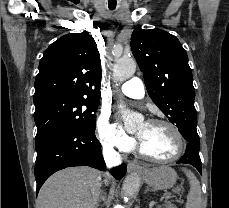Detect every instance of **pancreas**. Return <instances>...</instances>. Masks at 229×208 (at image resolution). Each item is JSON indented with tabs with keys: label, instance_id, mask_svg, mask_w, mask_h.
<instances>
[{
	"label": "pancreas",
	"instance_id": "obj_1",
	"mask_svg": "<svg viewBox=\"0 0 229 208\" xmlns=\"http://www.w3.org/2000/svg\"><path fill=\"white\" fill-rule=\"evenodd\" d=\"M167 208H175L174 204H167Z\"/></svg>",
	"mask_w": 229,
	"mask_h": 208
}]
</instances>
